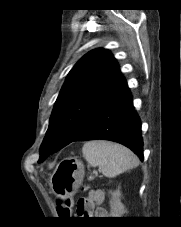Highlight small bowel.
<instances>
[{"instance_id": "1", "label": "small bowel", "mask_w": 181, "mask_h": 227, "mask_svg": "<svg viewBox=\"0 0 181 227\" xmlns=\"http://www.w3.org/2000/svg\"><path fill=\"white\" fill-rule=\"evenodd\" d=\"M105 198L104 192L101 190H92L87 197L78 201L76 214L86 215L89 217L103 218L108 215L105 208L101 206Z\"/></svg>"}]
</instances>
